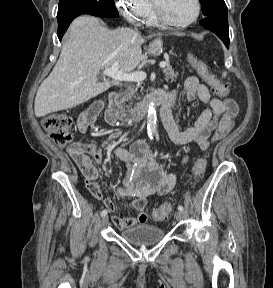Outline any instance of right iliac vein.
<instances>
[{
	"mask_svg": "<svg viewBox=\"0 0 273 288\" xmlns=\"http://www.w3.org/2000/svg\"><path fill=\"white\" fill-rule=\"evenodd\" d=\"M108 220H109L108 216H104L103 219H102V225L103 226L107 225Z\"/></svg>",
	"mask_w": 273,
	"mask_h": 288,
	"instance_id": "1",
	"label": "right iliac vein"
}]
</instances>
